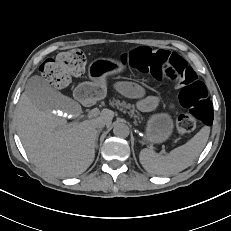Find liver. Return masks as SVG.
Instances as JSON below:
<instances>
[{"label": "liver", "mask_w": 231, "mask_h": 231, "mask_svg": "<svg viewBox=\"0 0 231 231\" xmlns=\"http://www.w3.org/2000/svg\"><path fill=\"white\" fill-rule=\"evenodd\" d=\"M114 113L103 109L96 118L68 123L65 118L37 108L22 94L16 119L18 134L32 162L56 177H75L91 165L95 157V124L112 123Z\"/></svg>", "instance_id": "6515ba94"}]
</instances>
